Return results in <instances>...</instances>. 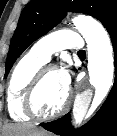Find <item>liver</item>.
I'll return each mask as SVG.
<instances>
[{
    "label": "liver",
    "instance_id": "liver-1",
    "mask_svg": "<svg viewBox=\"0 0 117 136\" xmlns=\"http://www.w3.org/2000/svg\"><path fill=\"white\" fill-rule=\"evenodd\" d=\"M5 136H47L46 132L31 124H10L4 127Z\"/></svg>",
    "mask_w": 117,
    "mask_h": 136
}]
</instances>
